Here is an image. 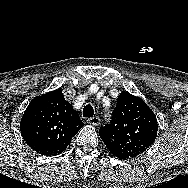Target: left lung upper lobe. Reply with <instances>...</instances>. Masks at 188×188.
<instances>
[{"label":"left lung upper lobe","mask_w":188,"mask_h":188,"mask_svg":"<svg viewBox=\"0 0 188 188\" xmlns=\"http://www.w3.org/2000/svg\"><path fill=\"white\" fill-rule=\"evenodd\" d=\"M158 123L153 111L139 97L122 92L117 98L110 124L99 135L129 158L142 154L155 141Z\"/></svg>","instance_id":"5c2ea615"}]
</instances>
